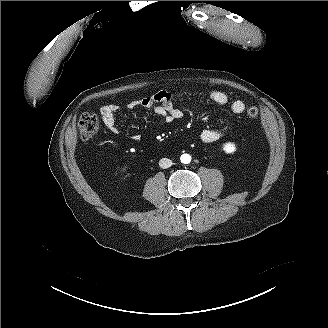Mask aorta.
I'll return each instance as SVG.
<instances>
[{
	"mask_svg": "<svg viewBox=\"0 0 328 328\" xmlns=\"http://www.w3.org/2000/svg\"><path fill=\"white\" fill-rule=\"evenodd\" d=\"M180 160L184 164H189L191 162V156L189 154H183L181 155Z\"/></svg>",
	"mask_w": 328,
	"mask_h": 328,
	"instance_id": "1",
	"label": "aorta"
}]
</instances>
